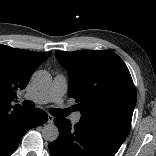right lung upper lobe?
<instances>
[{
	"label": "right lung upper lobe",
	"mask_w": 156,
	"mask_h": 156,
	"mask_svg": "<svg viewBox=\"0 0 156 156\" xmlns=\"http://www.w3.org/2000/svg\"><path fill=\"white\" fill-rule=\"evenodd\" d=\"M51 52L39 53L0 44V109H11L16 91L24 89L35 69ZM15 108H24L19 104Z\"/></svg>",
	"instance_id": "1"
}]
</instances>
